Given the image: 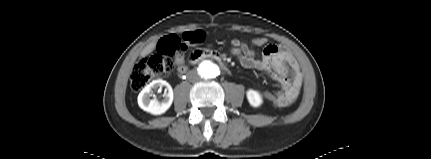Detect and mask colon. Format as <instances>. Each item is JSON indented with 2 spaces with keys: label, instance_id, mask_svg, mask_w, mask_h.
Segmentation results:
<instances>
[{
  "label": "colon",
  "instance_id": "5ec220e1",
  "mask_svg": "<svg viewBox=\"0 0 431 159\" xmlns=\"http://www.w3.org/2000/svg\"><path fill=\"white\" fill-rule=\"evenodd\" d=\"M202 33L187 32L181 36L168 35L161 39L157 52L140 60L130 76L131 88L135 91L142 90L149 82L158 79L162 75L171 72L175 67V58H182L189 46L199 43ZM226 54L235 56L244 53L243 46L229 47ZM266 98L275 97L272 92H262Z\"/></svg>",
  "mask_w": 431,
  "mask_h": 159
}]
</instances>
